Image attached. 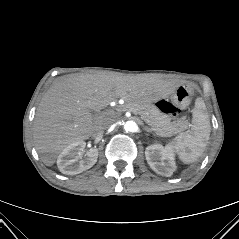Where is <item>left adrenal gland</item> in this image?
Instances as JSON below:
<instances>
[{
    "label": "left adrenal gland",
    "mask_w": 239,
    "mask_h": 239,
    "mask_svg": "<svg viewBox=\"0 0 239 239\" xmlns=\"http://www.w3.org/2000/svg\"><path fill=\"white\" fill-rule=\"evenodd\" d=\"M143 130H145L146 132H150V133L153 132V130L151 128H149L148 126H144Z\"/></svg>",
    "instance_id": "obj_1"
}]
</instances>
